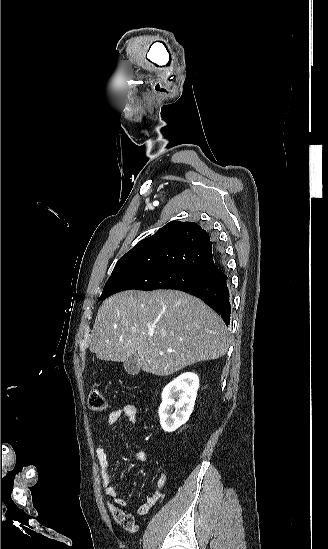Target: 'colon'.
Returning a JSON list of instances; mask_svg holds the SVG:
<instances>
[{
  "label": "colon",
  "mask_w": 328,
  "mask_h": 549,
  "mask_svg": "<svg viewBox=\"0 0 328 549\" xmlns=\"http://www.w3.org/2000/svg\"><path fill=\"white\" fill-rule=\"evenodd\" d=\"M88 406L92 411L96 412L106 409L107 402L100 389L94 388L90 391L88 396ZM109 510L112 518L118 523L121 528L128 532L137 531V522L132 514L124 512L115 504H110Z\"/></svg>",
  "instance_id": "5ec220e1"
}]
</instances>
